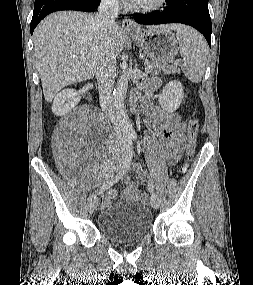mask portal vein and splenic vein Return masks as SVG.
<instances>
[{"instance_id": "1", "label": "portal vein and splenic vein", "mask_w": 253, "mask_h": 285, "mask_svg": "<svg viewBox=\"0 0 253 285\" xmlns=\"http://www.w3.org/2000/svg\"><path fill=\"white\" fill-rule=\"evenodd\" d=\"M152 69H153V66H151V65L147 66L145 68V73H147V74L150 73L152 71Z\"/></svg>"}]
</instances>
